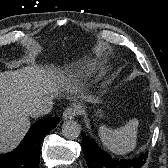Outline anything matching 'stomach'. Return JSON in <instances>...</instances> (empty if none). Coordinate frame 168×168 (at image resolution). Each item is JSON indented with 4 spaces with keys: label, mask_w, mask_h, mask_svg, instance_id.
<instances>
[{
    "label": "stomach",
    "mask_w": 168,
    "mask_h": 168,
    "mask_svg": "<svg viewBox=\"0 0 168 168\" xmlns=\"http://www.w3.org/2000/svg\"><path fill=\"white\" fill-rule=\"evenodd\" d=\"M97 113L99 114L100 117L102 116V111H98Z\"/></svg>",
    "instance_id": "1"
}]
</instances>
